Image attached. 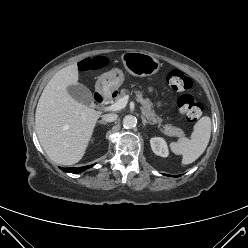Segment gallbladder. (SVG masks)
<instances>
[{
	"instance_id": "obj_1",
	"label": "gallbladder",
	"mask_w": 248,
	"mask_h": 248,
	"mask_svg": "<svg viewBox=\"0 0 248 248\" xmlns=\"http://www.w3.org/2000/svg\"><path fill=\"white\" fill-rule=\"evenodd\" d=\"M70 96L76 101L83 103L87 106L93 105V96L90 90L83 84L71 85L67 88Z\"/></svg>"
}]
</instances>
